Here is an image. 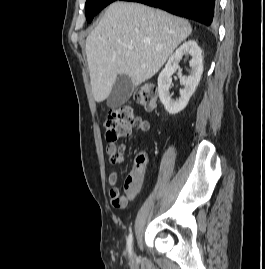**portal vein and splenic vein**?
<instances>
[{
	"label": "portal vein and splenic vein",
	"instance_id": "1",
	"mask_svg": "<svg viewBox=\"0 0 265 269\" xmlns=\"http://www.w3.org/2000/svg\"><path fill=\"white\" fill-rule=\"evenodd\" d=\"M126 48H127L128 50H130V51L133 50V46H131V45L126 46Z\"/></svg>",
	"mask_w": 265,
	"mask_h": 269
}]
</instances>
